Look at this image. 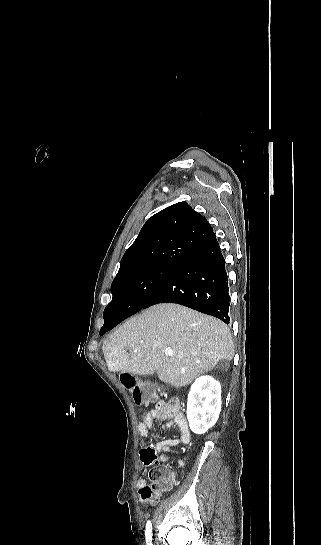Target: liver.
Here are the masks:
<instances>
[{"label": "liver", "mask_w": 321, "mask_h": 545, "mask_svg": "<svg viewBox=\"0 0 321 545\" xmlns=\"http://www.w3.org/2000/svg\"><path fill=\"white\" fill-rule=\"evenodd\" d=\"M102 351L112 373H157L160 381L177 389L234 357L225 323L174 303H160L131 317L107 337Z\"/></svg>", "instance_id": "obj_1"}]
</instances>
